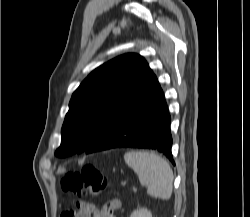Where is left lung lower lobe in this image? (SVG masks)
I'll use <instances>...</instances> for the list:
<instances>
[{"instance_id":"obj_1","label":"left lung lower lobe","mask_w":250,"mask_h":217,"mask_svg":"<svg viewBox=\"0 0 250 217\" xmlns=\"http://www.w3.org/2000/svg\"><path fill=\"white\" fill-rule=\"evenodd\" d=\"M170 121L163 91L151 71L85 152L90 154L121 147L155 149L175 164L171 153Z\"/></svg>"}]
</instances>
